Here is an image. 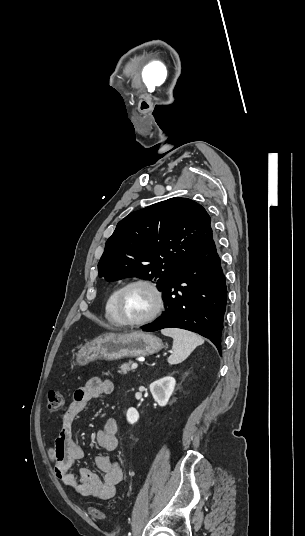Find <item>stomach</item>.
I'll use <instances>...</instances> for the list:
<instances>
[{"mask_svg": "<svg viewBox=\"0 0 305 536\" xmlns=\"http://www.w3.org/2000/svg\"><path fill=\"white\" fill-rule=\"evenodd\" d=\"M160 338L148 332L132 334H104L82 346L76 354L79 366H86L94 360H120V358H141L162 350Z\"/></svg>", "mask_w": 305, "mask_h": 536, "instance_id": "obj_1", "label": "stomach"}]
</instances>
